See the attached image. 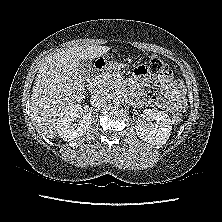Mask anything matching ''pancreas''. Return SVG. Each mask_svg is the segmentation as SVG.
<instances>
[{
	"label": "pancreas",
	"mask_w": 222,
	"mask_h": 222,
	"mask_svg": "<svg viewBox=\"0 0 222 222\" xmlns=\"http://www.w3.org/2000/svg\"><path fill=\"white\" fill-rule=\"evenodd\" d=\"M112 76L114 75L105 76L106 79L102 80V82L100 83L101 86H100L99 93L108 94L109 92L114 90V87H116V84Z\"/></svg>",
	"instance_id": "cf45deb5"
}]
</instances>
